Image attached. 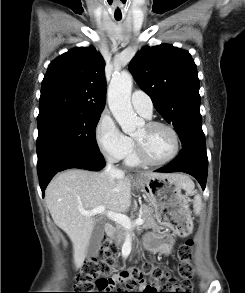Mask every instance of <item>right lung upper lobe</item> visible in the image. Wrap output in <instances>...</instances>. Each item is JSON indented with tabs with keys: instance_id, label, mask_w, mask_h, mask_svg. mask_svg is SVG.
<instances>
[{
	"instance_id": "1",
	"label": "right lung upper lobe",
	"mask_w": 245,
	"mask_h": 293,
	"mask_svg": "<svg viewBox=\"0 0 245 293\" xmlns=\"http://www.w3.org/2000/svg\"><path fill=\"white\" fill-rule=\"evenodd\" d=\"M104 66L102 55L92 46L74 48L56 58L42 82L39 111L102 112L106 94Z\"/></svg>"
}]
</instances>
